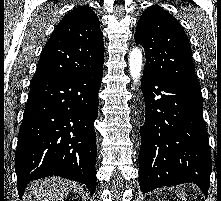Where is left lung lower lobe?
<instances>
[{"instance_id":"0a47b994","label":"left lung lower lobe","mask_w":221,"mask_h":201,"mask_svg":"<svg viewBox=\"0 0 221 201\" xmlns=\"http://www.w3.org/2000/svg\"><path fill=\"white\" fill-rule=\"evenodd\" d=\"M145 122L141 127L142 192L193 182L207 197L212 170L201 88L143 72Z\"/></svg>"}]
</instances>
